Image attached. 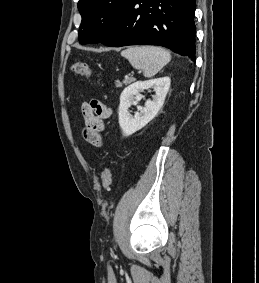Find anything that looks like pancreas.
<instances>
[{"label":"pancreas","instance_id":"cf45deb5","mask_svg":"<svg viewBox=\"0 0 259 283\" xmlns=\"http://www.w3.org/2000/svg\"><path fill=\"white\" fill-rule=\"evenodd\" d=\"M133 81H134V78L128 77V78H125L123 80V82L116 81V86L117 87H122L123 85H128V84L132 83Z\"/></svg>","mask_w":259,"mask_h":283}]
</instances>
